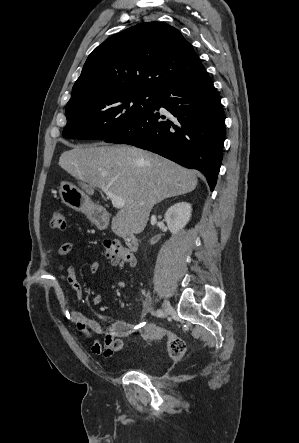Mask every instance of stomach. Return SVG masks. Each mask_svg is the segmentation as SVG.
I'll list each match as a JSON object with an SVG mask.
<instances>
[{"label":"stomach","instance_id":"1","mask_svg":"<svg viewBox=\"0 0 299 443\" xmlns=\"http://www.w3.org/2000/svg\"><path fill=\"white\" fill-rule=\"evenodd\" d=\"M62 202L76 211L84 212L87 217L99 227H104V222L95 215V206L89 197L78 187L70 182L63 181L59 187Z\"/></svg>","mask_w":299,"mask_h":443}]
</instances>
